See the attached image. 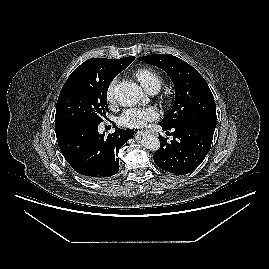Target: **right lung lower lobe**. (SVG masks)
I'll return each mask as SVG.
<instances>
[{"label":"right lung lower lobe","instance_id":"obj_1","mask_svg":"<svg viewBox=\"0 0 269 269\" xmlns=\"http://www.w3.org/2000/svg\"><path fill=\"white\" fill-rule=\"evenodd\" d=\"M97 123L86 121L55 124L60 150L71 167L90 180L105 179L119 170V149L132 136L131 129L116 128L113 134H100Z\"/></svg>","mask_w":269,"mask_h":269}]
</instances>
